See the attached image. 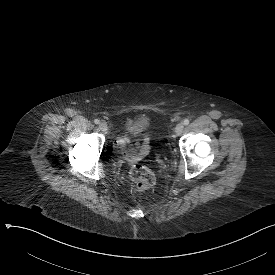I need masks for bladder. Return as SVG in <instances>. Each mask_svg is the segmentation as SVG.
I'll return each mask as SVG.
<instances>
[{
  "label": "bladder",
  "instance_id": "obj_1",
  "mask_svg": "<svg viewBox=\"0 0 275 275\" xmlns=\"http://www.w3.org/2000/svg\"><path fill=\"white\" fill-rule=\"evenodd\" d=\"M149 128V121L144 117H134L123 127V134L126 138H139L142 136L145 130Z\"/></svg>",
  "mask_w": 275,
  "mask_h": 275
}]
</instances>
